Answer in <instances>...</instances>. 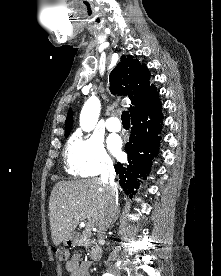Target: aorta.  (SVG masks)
Masks as SVG:
<instances>
[{
  "instance_id": "obj_1",
  "label": "aorta",
  "mask_w": 221,
  "mask_h": 276,
  "mask_svg": "<svg viewBox=\"0 0 221 276\" xmlns=\"http://www.w3.org/2000/svg\"><path fill=\"white\" fill-rule=\"evenodd\" d=\"M101 104L98 98L91 97L84 104L80 114V127L89 132L94 129L100 114Z\"/></svg>"
}]
</instances>
